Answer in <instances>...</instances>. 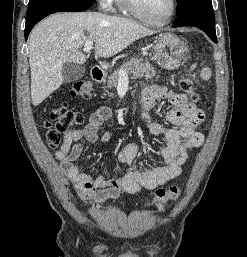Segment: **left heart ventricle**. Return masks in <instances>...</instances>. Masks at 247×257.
Instances as JSON below:
<instances>
[{
    "label": "left heart ventricle",
    "instance_id": "left-heart-ventricle-1",
    "mask_svg": "<svg viewBox=\"0 0 247 257\" xmlns=\"http://www.w3.org/2000/svg\"><path fill=\"white\" fill-rule=\"evenodd\" d=\"M140 11L153 20H162L171 9V0H135Z\"/></svg>",
    "mask_w": 247,
    "mask_h": 257
}]
</instances>
